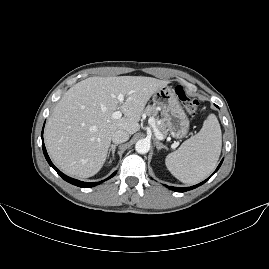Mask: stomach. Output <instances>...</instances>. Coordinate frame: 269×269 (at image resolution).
Instances as JSON below:
<instances>
[{
	"instance_id": "1",
	"label": "stomach",
	"mask_w": 269,
	"mask_h": 269,
	"mask_svg": "<svg viewBox=\"0 0 269 269\" xmlns=\"http://www.w3.org/2000/svg\"><path fill=\"white\" fill-rule=\"evenodd\" d=\"M152 100L162 108V116L172 136L185 137L189 129V119L173 89L168 85L161 87L153 94Z\"/></svg>"
}]
</instances>
